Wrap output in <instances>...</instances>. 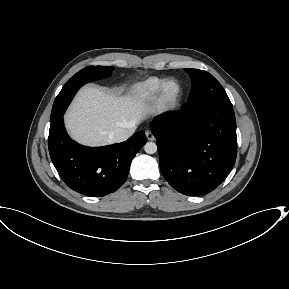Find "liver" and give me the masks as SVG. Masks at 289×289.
Returning a JSON list of instances; mask_svg holds the SVG:
<instances>
[{"instance_id": "obj_1", "label": "liver", "mask_w": 289, "mask_h": 289, "mask_svg": "<svg viewBox=\"0 0 289 289\" xmlns=\"http://www.w3.org/2000/svg\"><path fill=\"white\" fill-rule=\"evenodd\" d=\"M148 113L137 95L117 97L102 88L85 86L75 97L65 115L71 137L87 146L110 144L109 133L125 128L132 134Z\"/></svg>"}]
</instances>
